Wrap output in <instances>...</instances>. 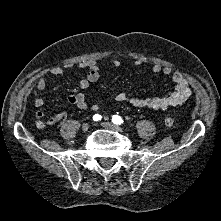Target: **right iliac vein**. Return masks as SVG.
Wrapping results in <instances>:
<instances>
[{
	"mask_svg": "<svg viewBox=\"0 0 221 221\" xmlns=\"http://www.w3.org/2000/svg\"><path fill=\"white\" fill-rule=\"evenodd\" d=\"M89 130V124L88 123H85L82 125V131L83 132H87Z\"/></svg>",
	"mask_w": 221,
	"mask_h": 221,
	"instance_id": "right-iliac-vein-1",
	"label": "right iliac vein"
}]
</instances>
